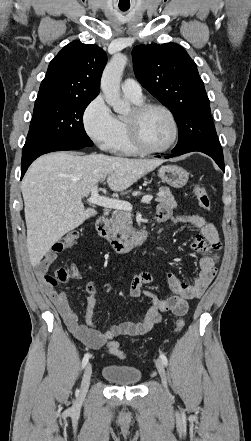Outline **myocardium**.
I'll return each instance as SVG.
<instances>
[{
    "instance_id": "obj_1",
    "label": "myocardium",
    "mask_w": 251,
    "mask_h": 441,
    "mask_svg": "<svg viewBox=\"0 0 251 441\" xmlns=\"http://www.w3.org/2000/svg\"><path fill=\"white\" fill-rule=\"evenodd\" d=\"M152 109H159L163 112H165L171 123H172V127H173V135L171 140L169 141L168 144H166L163 147L160 148H154V147H150L148 146L144 140L143 137L141 135V131H140V121L141 118L150 110ZM126 125H127V129H128V134L130 137V140L132 142V144L140 151L143 153H150V154H154V153H164L166 151H168L170 148H172L179 136V126H178V122L177 119L174 115V113L165 105L160 104V103H141L136 105L130 116L126 117Z\"/></svg>"
}]
</instances>
